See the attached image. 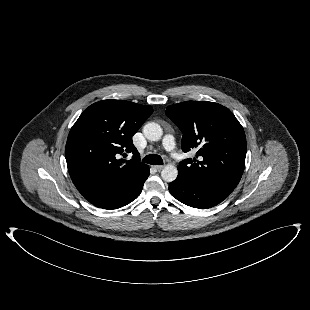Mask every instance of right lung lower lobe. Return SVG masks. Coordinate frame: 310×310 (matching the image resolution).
Masks as SVG:
<instances>
[{
	"instance_id": "right-lung-lower-lobe-1",
	"label": "right lung lower lobe",
	"mask_w": 310,
	"mask_h": 310,
	"mask_svg": "<svg viewBox=\"0 0 310 310\" xmlns=\"http://www.w3.org/2000/svg\"><path fill=\"white\" fill-rule=\"evenodd\" d=\"M148 176H149V172L145 175L140 185L135 190H133L127 195L108 198L104 200H97L91 203L99 208H104V209H117V208L123 207L129 204L130 202H132L133 200H135L140 195L143 184L145 180L148 178Z\"/></svg>"
}]
</instances>
